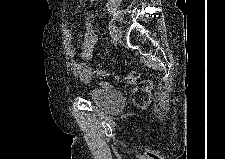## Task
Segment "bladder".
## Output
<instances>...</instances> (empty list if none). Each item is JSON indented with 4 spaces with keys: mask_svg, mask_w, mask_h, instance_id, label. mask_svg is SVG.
<instances>
[{
    "mask_svg": "<svg viewBox=\"0 0 225 159\" xmlns=\"http://www.w3.org/2000/svg\"><path fill=\"white\" fill-rule=\"evenodd\" d=\"M90 101L97 108L106 113H116L124 108L123 95L110 86L93 88L90 91Z\"/></svg>",
    "mask_w": 225,
    "mask_h": 159,
    "instance_id": "bladder-1",
    "label": "bladder"
}]
</instances>
